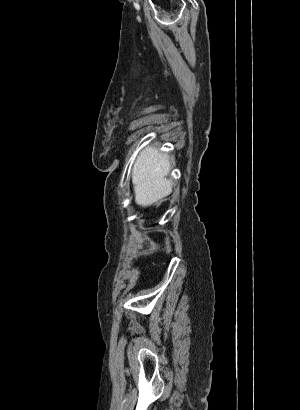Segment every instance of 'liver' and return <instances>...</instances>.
I'll list each match as a JSON object with an SVG mask.
<instances>
[{
  "label": "liver",
  "mask_w": 300,
  "mask_h": 410,
  "mask_svg": "<svg viewBox=\"0 0 300 410\" xmlns=\"http://www.w3.org/2000/svg\"><path fill=\"white\" fill-rule=\"evenodd\" d=\"M170 157L153 145L141 151L132 171L135 202L148 207L172 192V182L166 176L170 172Z\"/></svg>",
  "instance_id": "liver-1"
}]
</instances>
